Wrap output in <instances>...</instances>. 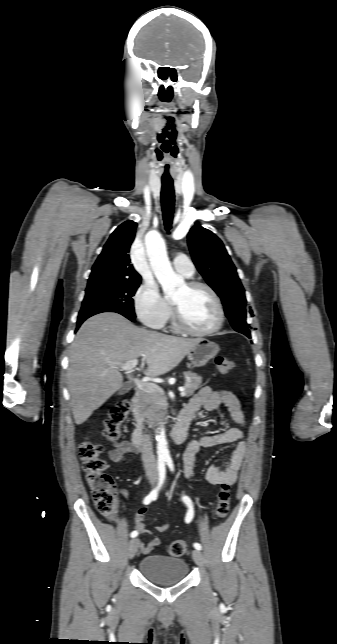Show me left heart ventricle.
Returning a JSON list of instances; mask_svg holds the SVG:
<instances>
[{"label": "left heart ventricle", "mask_w": 337, "mask_h": 644, "mask_svg": "<svg viewBox=\"0 0 337 644\" xmlns=\"http://www.w3.org/2000/svg\"><path fill=\"white\" fill-rule=\"evenodd\" d=\"M178 306L184 321L196 331L212 328L217 321V307L211 294L203 289L190 290L186 285L171 300Z\"/></svg>", "instance_id": "obj_1"}]
</instances>
